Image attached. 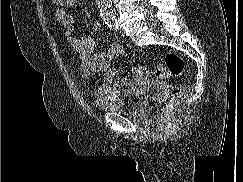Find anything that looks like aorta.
Here are the masks:
<instances>
[{"label":"aorta","mask_w":243,"mask_h":182,"mask_svg":"<svg viewBox=\"0 0 243 182\" xmlns=\"http://www.w3.org/2000/svg\"><path fill=\"white\" fill-rule=\"evenodd\" d=\"M99 11L105 21H113L115 19L112 10V0H96Z\"/></svg>","instance_id":"1"}]
</instances>
